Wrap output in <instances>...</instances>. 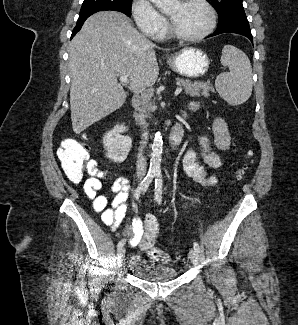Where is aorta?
<instances>
[{"label": "aorta", "instance_id": "aorta-1", "mask_svg": "<svg viewBox=\"0 0 298 325\" xmlns=\"http://www.w3.org/2000/svg\"><path fill=\"white\" fill-rule=\"evenodd\" d=\"M155 6L161 8V10H167V8H173L179 4V0H150ZM163 140L161 132H156L152 144L151 158L149 165V173H160L161 160H162Z\"/></svg>", "mask_w": 298, "mask_h": 325}]
</instances>
